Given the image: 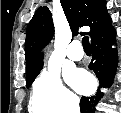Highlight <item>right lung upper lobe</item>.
I'll use <instances>...</instances> for the list:
<instances>
[{"label":"right lung upper lobe","mask_w":121,"mask_h":113,"mask_svg":"<svg viewBox=\"0 0 121 113\" xmlns=\"http://www.w3.org/2000/svg\"><path fill=\"white\" fill-rule=\"evenodd\" d=\"M61 5L73 35L77 34L79 27L89 26L91 30L87 34L92 39L111 26L104 0H61ZM53 35L51 12L47 6H42L36 10L26 32L27 73L43 64L41 49L48 44Z\"/></svg>","instance_id":"obj_1"}]
</instances>
